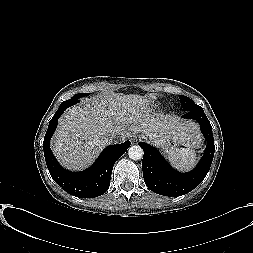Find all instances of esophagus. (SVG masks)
Listing matches in <instances>:
<instances>
[{
	"mask_svg": "<svg viewBox=\"0 0 253 253\" xmlns=\"http://www.w3.org/2000/svg\"><path fill=\"white\" fill-rule=\"evenodd\" d=\"M138 140H140V136L139 135H133L132 141L134 143H136Z\"/></svg>",
	"mask_w": 253,
	"mask_h": 253,
	"instance_id": "esophagus-1",
	"label": "esophagus"
}]
</instances>
